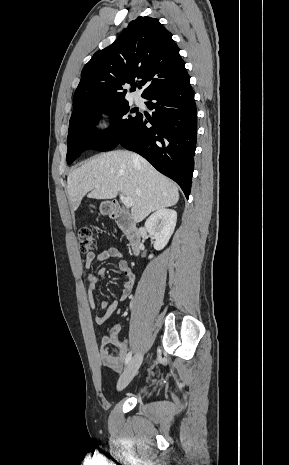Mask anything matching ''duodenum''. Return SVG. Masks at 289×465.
<instances>
[{"mask_svg":"<svg viewBox=\"0 0 289 465\" xmlns=\"http://www.w3.org/2000/svg\"><path fill=\"white\" fill-rule=\"evenodd\" d=\"M105 213L119 224L129 241L132 253L137 255L141 249L142 237L131 216L115 200L108 203Z\"/></svg>","mask_w":289,"mask_h":465,"instance_id":"duodenum-1","label":"duodenum"}]
</instances>
